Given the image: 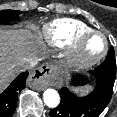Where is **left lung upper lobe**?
Returning <instances> with one entry per match:
<instances>
[{
	"label": "left lung upper lobe",
	"instance_id": "obj_1",
	"mask_svg": "<svg viewBox=\"0 0 117 117\" xmlns=\"http://www.w3.org/2000/svg\"><path fill=\"white\" fill-rule=\"evenodd\" d=\"M102 66L116 71V60L113 47L109 50L105 61L102 63Z\"/></svg>",
	"mask_w": 117,
	"mask_h": 117
}]
</instances>
